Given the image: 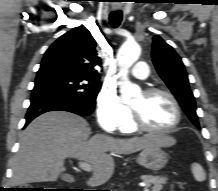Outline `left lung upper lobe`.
Segmentation results:
<instances>
[{
    "label": "left lung upper lobe",
    "mask_w": 218,
    "mask_h": 191,
    "mask_svg": "<svg viewBox=\"0 0 218 191\" xmlns=\"http://www.w3.org/2000/svg\"><path fill=\"white\" fill-rule=\"evenodd\" d=\"M152 58L156 70L165 84L176 97L181 107L199 128L196 103L189 87V80L179 55L160 36L153 37Z\"/></svg>",
    "instance_id": "1"
}]
</instances>
